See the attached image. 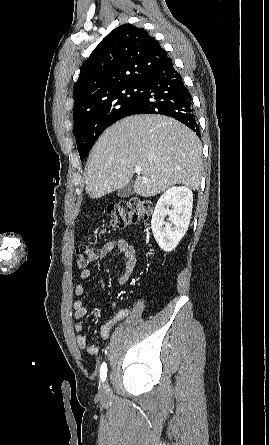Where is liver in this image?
<instances>
[{
	"instance_id": "liver-1",
	"label": "liver",
	"mask_w": 269,
	"mask_h": 445,
	"mask_svg": "<svg viewBox=\"0 0 269 445\" xmlns=\"http://www.w3.org/2000/svg\"><path fill=\"white\" fill-rule=\"evenodd\" d=\"M202 146L198 137L175 119L134 115L110 126L95 143L87 163L86 193L97 199L126 186L141 167L133 189L142 197L168 187L200 186Z\"/></svg>"
}]
</instances>
